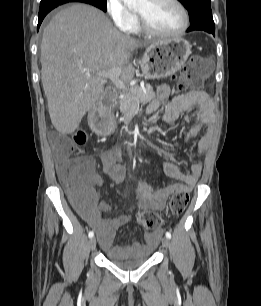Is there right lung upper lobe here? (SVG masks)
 Segmentation results:
<instances>
[{
  "label": "right lung upper lobe",
  "instance_id": "right-lung-upper-lobe-1",
  "mask_svg": "<svg viewBox=\"0 0 261 306\" xmlns=\"http://www.w3.org/2000/svg\"><path fill=\"white\" fill-rule=\"evenodd\" d=\"M58 1L84 2L85 0H58Z\"/></svg>",
  "mask_w": 261,
  "mask_h": 306
}]
</instances>
